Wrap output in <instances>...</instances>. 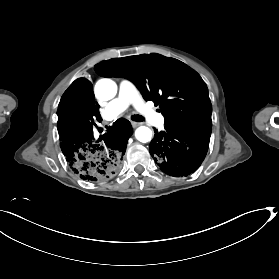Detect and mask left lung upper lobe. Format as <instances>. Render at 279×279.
Wrapping results in <instances>:
<instances>
[{
	"instance_id": "1",
	"label": "left lung upper lobe",
	"mask_w": 279,
	"mask_h": 279,
	"mask_svg": "<svg viewBox=\"0 0 279 279\" xmlns=\"http://www.w3.org/2000/svg\"><path fill=\"white\" fill-rule=\"evenodd\" d=\"M102 77L132 81L146 100L159 105L165 126L211 129L208 89L197 72L160 54H143L102 61L94 67Z\"/></svg>"
}]
</instances>
